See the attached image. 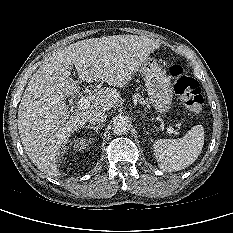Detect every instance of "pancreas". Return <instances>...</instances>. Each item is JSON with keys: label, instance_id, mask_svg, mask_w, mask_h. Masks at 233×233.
Here are the masks:
<instances>
[{"label": "pancreas", "instance_id": "cf45deb5", "mask_svg": "<svg viewBox=\"0 0 233 233\" xmlns=\"http://www.w3.org/2000/svg\"><path fill=\"white\" fill-rule=\"evenodd\" d=\"M137 97H139V96H137ZM139 102H140V104H142V105H146V104H147V101L144 100L143 98H140Z\"/></svg>", "mask_w": 233, "mask_h": 233}]
</instances>
